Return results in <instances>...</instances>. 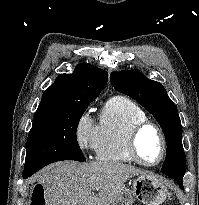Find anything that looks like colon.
<instances>
[{
  "instance_id": "5ec220e1",
  "label": "colon",
  "mask_w": 199,
  "mask_h": 205,
  "mask_svg": "<svg viewBox=\"0 0 199 205\" xmlns=\"http://www.w3.org/2000/svg\"><path fill=\"white\" fill-rule=\"evenodd\" d=\"M32 205H45L44 201L40 198V195H36Z\"/></svg>"
}]
</instances>
